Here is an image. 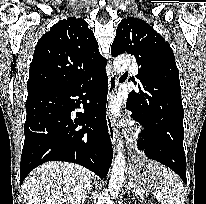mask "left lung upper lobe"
Masks as SVG:
<instances>
[{"instance_id": "left-lung-upper-lobe-1", "label": "left lung upper lobe", "mask_w": 206, "mask_h": 204, "mask_svg": "<svg viewBox=\"0 0 206 204\" xmlns=\"http://www.w3.org/2000/svg\"><path fill=\"white\" fill-rule=\"evenodd\" d=\"M128 53L140 67V113L145 120L154 117L158 106L181 100L179 71L168 42L145 21L127 17L117 27L112 56Z\"/></svg>"}]
</instances>
